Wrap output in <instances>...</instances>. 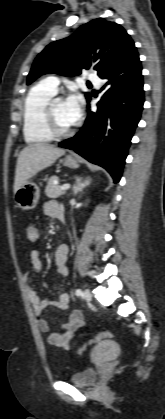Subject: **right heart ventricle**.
Instances as JSON below:
<instances>
[{
    "label": "right heart ventricle",
    "instance_id": "right-heart-ventricle-1",
    "mask_svg": "<svg viewBox=\"0 0 165 419\" xmlns=\"http://www.w3.org/2000/svg\"><path fill=\"white\" fill-rule=\"evenodd\" d=\"M55 95L42 82L28 92L23 106V134L28 143H47L53 140L46 127L44 109Z\"/></svg>",
    "mask_w": 165,
    "mask_h": 419
}]
</instances>
